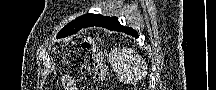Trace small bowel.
I'll list each match as a JSON object with an SVG mask.
<instances>
[{
	"instance_id": "small-bowel-1",
	"label": "small bowel",
	"mask_w": 216,
	"mask_h": 90,
	"mask_svg": "<svg viewBox=\"0 0 216 90\" xmlns=\"http://www.w3.org/2000/svg\"><path fill=\"white\" fill-rule=\"evenodd\" d=\"M64 85L66 90H75L74 81L70 77L64 78Z\"/></svg>"
}]
</instances>
